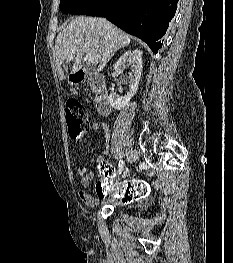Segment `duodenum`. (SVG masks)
I'll return each instance as SVG.
<instances>
[{
    "label": "duodenum",
    "instance_id": "obj_1",
    "mask_svg": "<svg viewBox=\"0 0 233 263\" xmlns=\"http://www.w3.org/2000/svg\"><path fill=\"white\" fill-rule=\"evenodd\" d=\"M72 79L75 83L90 81L93 85L97 112L102 116L110 114L111 104L109 101V94L105 79L101 74L86 69H79L73 74Z\"/></svg>",
    "mask_w": 233,
    "mask_h": 263
}]
</instances>
